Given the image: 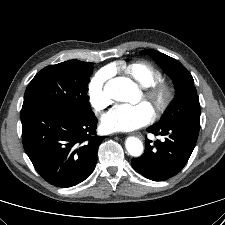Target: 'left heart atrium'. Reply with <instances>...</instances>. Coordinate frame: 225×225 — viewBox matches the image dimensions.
Here are the masks:
<instances>
[{"instance_id": "39dd6f15", "label": "left heart atrium", "mask_w": 225, "mask_h": 225, "mask_svg": "<svg viewBox=\"0 0 225 225\" xmlns=\"http://www.w3.org/2000/svg\"><path fill=\"white\" fill-rule=\"evenodd\" d=\"M153 117V108L147 102L119 104L104 115L102 125L110 132H126L145 126Z\"/></svg>"}]
</instances>
